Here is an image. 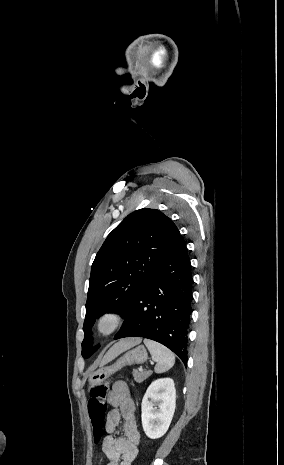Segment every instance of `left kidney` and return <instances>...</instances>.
<instances>
[{
    "instance_id": "1",
    "label": "left kidney",
    "mask_w": 284,
    "mask_h": 465,
    "mask_svg": "<svg viewBox=\"0 0 284 465\" xmlns=\"http://www.w3.org/2000/svg\"><path fill=\"white\" fill-rule=\"evenodd\" d=\"M175 399L173 379H157L148 387L141 405V419L149 439H160L168 431L175 413Z\"/></svg>"
}]
</instances>
